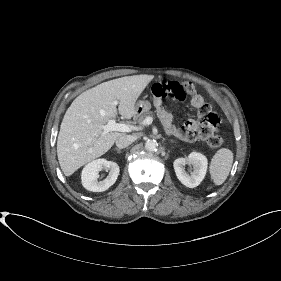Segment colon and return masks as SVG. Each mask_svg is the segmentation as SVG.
<instances>
[{
  "label": "colon",
  "mask_w": 281,
  "mask_h": 281,
  "mask_svg": "<svg viewBox=\"0 0 281 281\" xmlns=\"http://www.w3.org/2000/svg\"><path fill=\"white\" fill-rule=\"evenodd\" d=\"M195 88L191 82L165 81L154 83L151 87L152 96L156 99H172L183 101L187 95L194 93ZM201 127L196 136L205 139L211 148H218L223 140L218 134V127L221 117L216 112H209L206 109L200 111Z\"/></svg>",
  "instance_id": "colon-1"
}]
</instances>
